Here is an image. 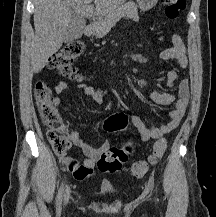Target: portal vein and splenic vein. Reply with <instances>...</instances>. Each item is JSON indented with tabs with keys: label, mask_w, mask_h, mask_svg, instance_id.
<instances>
[{
	"label": "portal vein and splenic vein",
	"mask_w": 216,
	"mask_h": 217,
	"mask_svg": "<svg viewBox=\"0 0 216 217\" xmlns=\"http://www.w3.org/2000/svg\"><path fill=\"white\" fill-rule=\"evenodd\" d=\"M92 1H93V0H86V2L89 3V4L92 3Z\"/></svg>",
	"instance_id": "portal-vein-and-splenic-vein-1"
}]
</instances>
